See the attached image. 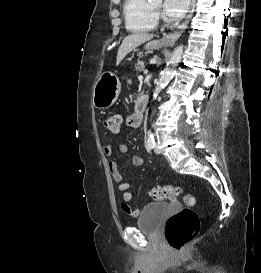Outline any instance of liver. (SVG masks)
<instances>
[{"label": "liver", "mask_w": 261, "mask_h": 273, "mask_svg": "<svg viewBox=\"0 0 261 273\" xmlns=\"http://www.w3.org/2000/svg\"><path fill=\"white\" fill-rule=\"evenodd\" d=\"M154 37L153 34L148 33H133L128 35L122 41L118 53H117V65L124 59V57L133 51L135 48L145 43L146 41L151 40Z\"/></svg>", "instance_id": "1"}]
</instances>
